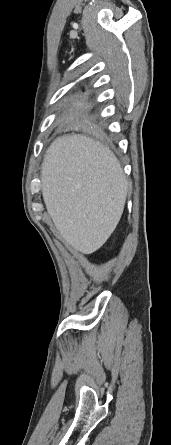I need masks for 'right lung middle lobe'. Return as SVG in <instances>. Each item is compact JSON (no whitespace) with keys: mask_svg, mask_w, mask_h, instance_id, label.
<instances>
[{"mask_svg":"<svg viewBox=\"0 0 171 445\" xmlns=\"http://www.w3.org/2000/svg\"><path fill=\"white\" fill-rule=\"evenodd\" d=\"M65 117L69 121L78 122L85 127H92L91 114L86 109L73 108L65 114Z\"/></svg>","mask_w":171,"mask_h":445,"instance_id":"obj_1","label":"right lung middle lobe"}]
</instances>
